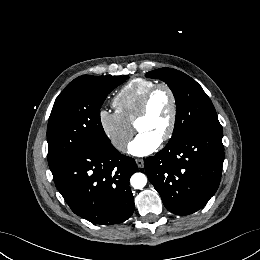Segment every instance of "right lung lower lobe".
Wrapping results in <instances>:
<instances>
[{"instance_id":"obj_1","label":"right lung lower lobe","mask_w":260,"mask_h":260,"mask_svg":"<svg viewBox=\"0 0 260 260\" xmlns=\"http://www.w3.org/2000/svg\"><path fill=\"white\" fill-rule=\"evenodd\" d=\"M137 170L133 158L110 150H82L51 169L55 185L72 211L100 225L127 220L134 211L129 179Z\"/></svg>"}]
</instances>
